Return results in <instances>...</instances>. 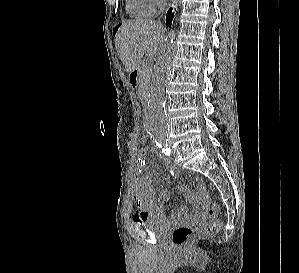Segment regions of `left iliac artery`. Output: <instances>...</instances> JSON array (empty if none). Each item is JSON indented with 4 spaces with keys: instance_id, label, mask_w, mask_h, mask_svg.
I'll return each mask as SVG.
<instances>
[{
    "instance_id": "44dca946",
    "label": "left iliac artery",
    "mask_w": 299,
    "mask_h": 273,
    "mask_svg": "<svg viewBox=\"0 0 299 273\" xmlns=\"http://www.w3.org/2000/svg\"><path fill=\"white\" fill-rule=\"evenodd\" d=\"M158 146L162 149V152L168 156L171 155V150L168 147L167 142H161L160 144H158Z\"/></svg>"
}]
</instances>
